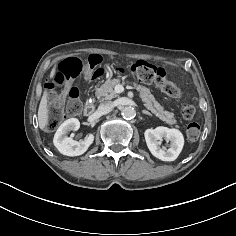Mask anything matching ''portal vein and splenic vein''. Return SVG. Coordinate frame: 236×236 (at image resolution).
I'll return each mask as SVG.
<instances>
[{"mask_svg": "<svg viewBox=\"0 0 236 236\" xmlns=\"http://www.w3.org/2000/svg\"><path fill=\"white\" fill-rule=\"evenodd\" d=\"M124 91V88L121 86V85H118L117 87H116V92L117 93H121V92H123Z\"/></svg>", "mask_w": 236, "mask_h": 236, "instance_id": "portal-vein-and-splenic-vein-1", "label": "portal vein and splenic vein"}]
</instances>
